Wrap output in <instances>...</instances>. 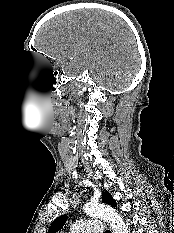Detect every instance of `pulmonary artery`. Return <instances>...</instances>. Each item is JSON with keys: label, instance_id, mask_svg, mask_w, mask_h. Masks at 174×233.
Instances as JSON below:
<instances>
[{"label": "pulmonary artery", "instance_id": "obj_1", "mask_svg": "<svg viewBox=\"0 0 174 233\" xmlns=\"http://www.w3.org/2000/svg\"><path fill=\"white\" fill-rule=\"evenodd\" d=\"M72 233H103V223L98 219H82L73 225Z\"/></svg>", "mask_w": 174, "mask_h": 233}]
</instances>
